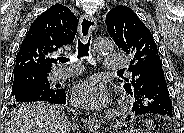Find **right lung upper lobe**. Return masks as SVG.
Here are the masks:
<instances>
[{"label":"right lung upper lobe","mask_w":184,"mask_h":133,"mask_svg":"<svg viewBox=\"0 0 184 133\" xmlns=\"http://www.w3.org/2000/svg\"><path fill=\"white\" fill-rule=\"evenodd\" d=\"M77 32V18L62 4L52 5L31 24L17 53L14 75H49L55 54L70 44Z\"/></svg>","instance_id":"1"}]
</instances>
